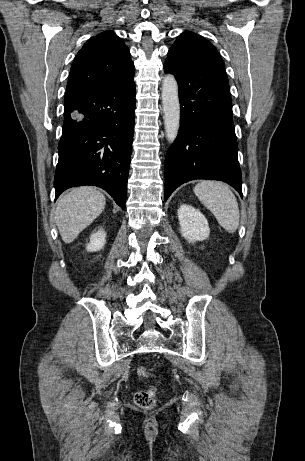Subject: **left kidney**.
<instances>
[{"label": "left kidney", "instance_id": "left-kidney-1", "mask_svg": "<svg viewBox=\"0 0 305 461\" xmlns=\"http://www.w3.org/2000/svg\"><path fill=\"white\" fill-rule=\"evenodd\" d=\"M180 232L189 243L202 241L209 237L210 228L205 216L194 207L182 204L178 209Z\"/></svg>", "mask_w": 305, "mask_h": 461}]
</instances>
